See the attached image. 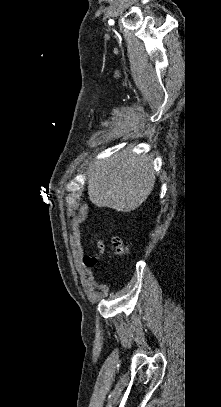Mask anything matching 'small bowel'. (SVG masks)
<instances>
[{
	"mask_svg": "<svg viewBox=\"0 0 221 407\" xmlns=\"http://www.w3.org/2000/svg\"><path fill=\"white\" fill-rule=\"evenodd\" d=\"M105 250V244L101 239L96 240V251L92 254H85L83 256V265L85 267V270L88 274H93L94 273V266L97 264L98 260L102 256ZM88 285L91 283L88 282Z\"/></svg>",
	"mask_w": 221,
	"mask_h": 407,
	"instance_id": "obj_1",
	"label": "small bowel"
}]
</instances>
